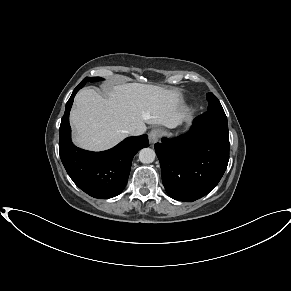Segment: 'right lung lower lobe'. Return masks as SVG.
<instances>
[{
  "label": "right lung lower lobe",
  "instance_id": "right-lung-lower-lobe-1",
  "mask_svg": "<svg viewBox=\"0 0 291 291\" xmlns=\"http://www.w3.org/2000/svg\"><path fill=\"white\" fill-rule=\"evenodd\" d=\"M80 83L69 98L59 128V153L73 182L88 195L106 199L120 194L125 188L134 155L148 147V136L126 138L114 148L103 152H89L77 148L71 141L69 112Z\"/></svg>",
  "mask_w": 291,
  "mask_h": 291
}]
</instances>
